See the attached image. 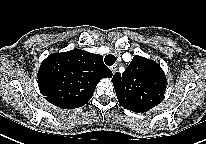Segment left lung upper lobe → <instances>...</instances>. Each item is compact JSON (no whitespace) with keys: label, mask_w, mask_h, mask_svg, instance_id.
<instances>
[{"label":"left lung upper lobe","mask_w":206,"mask_h":144,"mask_svg":"<svg viewBox=\"0 0 206 144\" xmlns=\"http://www.w3.org/2000/svg\"><path fill=\"white\" fill-rule=\"evenodd\" d=\"M119 103L133 112H146L164 99L166 77L155 61L135 55L125 72L112 78Z\"/></svg>","instance_id":"5c2ea615"}]
</instances>
